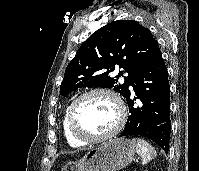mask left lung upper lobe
Wrapping results in <instances>:
<instances>
[{"label":"left lung upper lobe","mask_w":199,"mask_h":171,"mask_svg":"<svg viewBox=\"0 0 199 171\" xmlns=\"http://www.w3.org/2000/svg\"><path fill=\"white\" fill-rule=\"evenodd\" d=\"M158 43L149 29L134 20H117L94 32L68 64L60 94L66 96L80 87L113 88L124 97L134 77L151 57ZM118 65L115 78L109 73ZM127 72L123 83L119 77Z\"/></svg>","instance_id":"obj_1"}]
</instances>
